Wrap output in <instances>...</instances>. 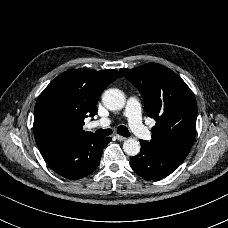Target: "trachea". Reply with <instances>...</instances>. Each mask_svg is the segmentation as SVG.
I'll return each mask as SVG.
<instances>
[{
  "label": "trachea",
  "instance_id": "obj_1",
  "mask_svg": "<svg viewBox=\"0 0 228 228\" xmlns=\"http://www.w3.org/2000/svg\"><path fill=\"white\" fill-rule=\"evenodd\" d=\"M117 133L121 136H124V137H129L131 134L128 130V128L126 126H119L117 128ZM95 134L97 136H108L110 134H112V130L111 129H98Z\"/></svg>",
  "mask_w": 228,
  "mask_h": 228
}]
</instances>
